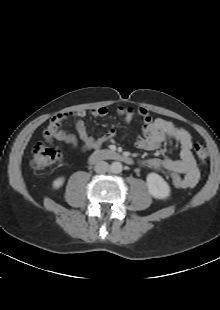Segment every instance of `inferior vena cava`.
Segmentation results:
<instances>
[{
	"label": "inferior vena cava",
	"mask_w": 220,
	"mask_h": 310,
	"mask_svg": "<svg viewBox=\"0 0 220 310\" xmlns=\"http://www.w3.org/2000/svg\"><path fill=\"white\" fill-rule=\"evenodd\" d=\"M94 170L98 174H104L110 170V166L105 161H99L95 166Z\"/></svg>",
	"instance_id": "obj_1"
}]
</instances>
